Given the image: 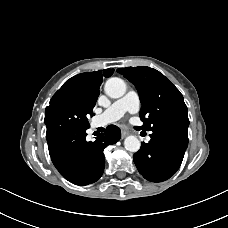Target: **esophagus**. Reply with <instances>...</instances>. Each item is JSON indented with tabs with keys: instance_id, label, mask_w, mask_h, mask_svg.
<instances>
[{
	"instance_id": "34e87169",
	"label": "esophagus",
	"mask_w": 228,
	"mask_h": 228,
	"mask_svg": "<svg viewBox=\"0 0 228 228\" xmlns=\"http://www.w3.org/2000/svg\"><path fill=\"white\" fill-rule=\"evenodd\" d=\"M121 135H122V138H125L127 135H129V132L125 129H122L121 130Z\"/></svg>"
}]
</instances>
